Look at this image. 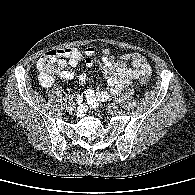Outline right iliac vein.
I'll return each mask as SVG.
<instances>
[{"instance_id":"obj_1","label":"right iliac vein","mask_w":195,"mask_h":195,"mask_svg":"<svg viewBox=\"0 0 195 195\" xmlns=\"http://www.w3.org/2000/svg\"><path fill=\"white\" fill-rule=\"evenodd\" d=\"M68 107L72 110H74L75 108H76V103L75 102H73V101H69V103H68Z\"/></svg>"}]
</instances>
